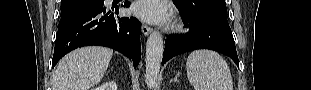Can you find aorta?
Returning <instances> with one entry per match:
<instances>
[{"instance_id":"aorta-1","label":"aorta","mask_w":311,"mask_h":90,"mask_svg":"<svg viewBox=\"0 0 311 90\" xmlns=\"http://www.w3.org/2000/svg\"><path fill=\"white\" fill-rule=\"evenodd\" d=\"M163 38L162 35L153 31L146 44V69L145 78L148 89H156L158 87V77L163 56Z\"/></svg>"}]
</instances>
